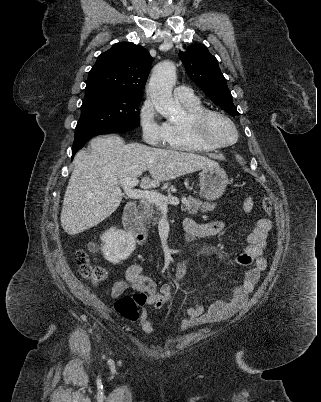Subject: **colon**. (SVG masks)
I'll use <instances>...</instances> for the list:
<instances>
[{
  "mask_svg": "<svg viewBox=\"0 0 321 402\" xmlns=\"http://www.w3.org/2000/svg\"><path fill=\"white\" fill-rule=\"evenodd\" d=\"M262 209L266 214L272 212V201L269 198H264L261 201ZM76 262L82 276L93 283L101 282L105 276L106 271L100 266L93 265L86 251L78 250L75 255ZM147 294L143 291L133 293L131 295H124L115 302V311L124 319L129 321H137L139 318V307L147 302Z\"/></svg>",
  "mask_w": 321,
  "mask_h": 402,
  "instance_id": "obj_1",
  "label": "colon"
}]
</instances>
